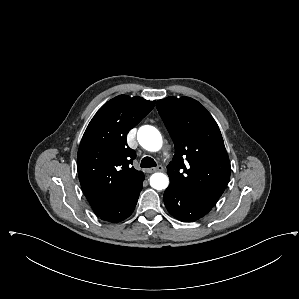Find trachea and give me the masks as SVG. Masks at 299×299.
<instances>
[{
	"label": "trachea",
	"mask_w": 299,
	"mask_h": 299,
	"mask_svg": "<svg viewBox=\"0 0 299 299\" xmlns=\"http://www.w3.org/2000/svg\"><path fill=\"white\" fill-rule=\"evenodd\" d=\"M140 166L142 168H150V167H155L156 166V162L154 161L153 158L151 157H144L140 163Z\"/></svg>",
	"instance_id": "1"
}]
</instances>
